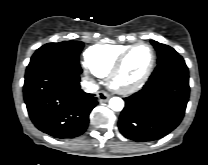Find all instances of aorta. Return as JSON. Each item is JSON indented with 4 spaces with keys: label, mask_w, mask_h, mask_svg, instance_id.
<instances>
[{
    "label": "aorta",
    "mask_w": 208,
    "mask_h": 165,
    "mask_svg": "<svg viewBox=\"0 0 208 165\" xmlns=\"http://www.w3.org/2000/svg\"><path fill=\"white\" fill-rule=\"evenodd\" d=\"M109 107L116 112H119L124 107V101L119 97H112L109 100Z\"/></svg>",
    "instance_id": "1"
}]
</instances>
